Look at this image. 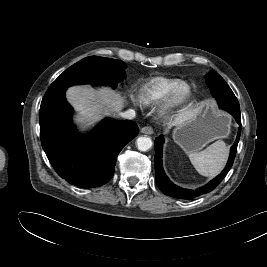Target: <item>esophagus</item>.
<instances>
[{"instance_id": "esophagus-1", "label": "esophagus", "mask_w": 267, "mask_h": 267, "mask_svg": "<svg viewBox=\"0 0 267 267\" xmlns=\"http://www.w3.org/2000/svg\"><path fill=\"white\" fill-rule=\"evenodd\" d=\"M141 133L150 135L153 133V128L149 125H146V126L141 128Z\"/></svg>"}]
</instances>
